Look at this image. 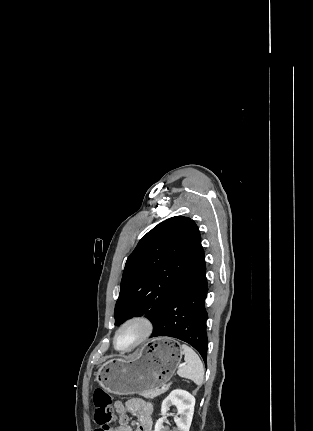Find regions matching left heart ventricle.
Listing matches in <instances>:
<instances>
[{
  "instance_id": "b2bd125f",
  "label": "left heart ventricle",
  "mask_w": 313,
  "mask_h": 431,
  "mask_svg": "<svg viewBox=\"0 0 313 431\" xmlns=\"http://www.w3.org/2000/svg\"><path fill=\"white\" fill-rule=\"evenodd\" d=\"M143 333L141 324H130L123 328L117 337V346L119 348H128L136 343Z\"/></svg>"
}]
</instances>
